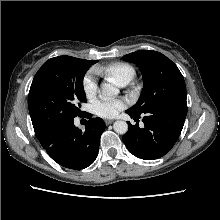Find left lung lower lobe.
<instances>
[{"label": "left lung lower lobe", "instance_id": "left-lung-lower-lobe-1", "mask_svg": "<svg viewBox=\"0 0 220 220\" xmlns=\"http://www.w3.org/2000/svg\"><path fill=\"white\" fill-rule=\"evenodd\" d=\"M132 118H140L128 110ZM187 114L186 100L162 103L145 113L144 128L128 122L129 130L122 137L127 149L136 157L154 160L167 154L182 131Z\"/></svg>", "mask_w": 220, "mask_h": 220}]
</instances>
